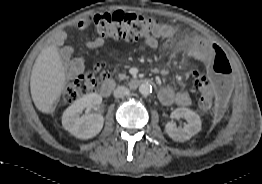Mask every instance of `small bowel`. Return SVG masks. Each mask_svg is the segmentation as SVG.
<instances>
[{"label": "small bowel", "instance_id": "1", "mask_svg": "<svg viewBox=\"0 0 262 184\" xmlns=\"http://www.w3.org/2000/svg\"><path fill=\"white\" fill-rule=\"evenodd\" d=\"M81 28V27H80ZM176 31L173 27L162 24L149 35L144 36L143 42L150 49H156L161 39H172L175 37ZM64 38V35H61ZM105 38L98 36L93 40H89L86 45L88 48L95 49L104 45ZM210 44L198 37H184L180 40V47L186 55L192 59L200 61L205 65L208 72L212 71V60L208 56V48ZM61 56L65 61L66 74L69 78L76 77L83 72L85 68V60L83 58H72L73 50L69 46L61 49ZM159 100L164 105L177 104L187 107L192 103V97L188 91H175L170 87H164L159 92Z\"/></svg>", "mask_w": 262, "mask_h": 184}]
</instances>
